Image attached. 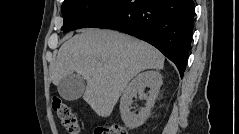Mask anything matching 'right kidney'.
<instances>
[{
    "mask_svg": "<svg viewBox=\"0 0 239 134\" xmlns=\"http://www.w3.org/2000/svg\"><path fill=\"white\" fill-rule=\"evenodd\" d=\"M163 83V77L158 71H145L138 74L124 89L120 100L121 118L128 128H137L147 119L150 109L155 104L156 97ZM150 87L149 96L144 93L146 87ZM139 95L147 100L144 108L138 114L130 110L133 98Z\"/></svg>",
    "mask_w": 239,
    "mask_h": 134,
    "instance_id": "1",
    "label": "right kidney"
}]
</instances>
